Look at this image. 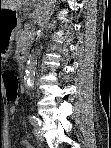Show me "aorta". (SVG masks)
<instances>
[{"mask_svg": "<svg viewBox=\"0 0 111 148\" xmlns=\"http://www.w3.org/2000/svg\"><path fill=\"white\" fill-rule=\"evenodd\" d=\"M54 2L55 0L40 1V4L38 5L36 9V23L39 29L37 31L38 34L42 33L45 26L47 25L50 19V16L52 14ZM35 65H36V60H35V55H33L28 61L27 67L25 70L24 80H25L27 89H30L32 87V83L34 80V74H35Z\"/></svg>", "mask_w": 111, "mask_h": 148, "instance_id": "aorta-1", "label": "aorta"}]
</instances>
